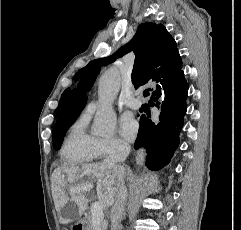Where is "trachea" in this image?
Listing matches in <instances>:
<instances>
[{"instance_id": "trachea-1", "label": "trachea", "mask_w": 241, "mask_h": 230, "mask_svg": "<svg viewBox=\"0 0 241 230\" xmlns=\"http://www.w3.org/2000/svg\"><path fill=\"white\" fill-rule=\"evenodd\" d=\"M143 95L146 97V96H148L149 95V90H145L144 92H143Z\"/></svg>"}]
</instances>
